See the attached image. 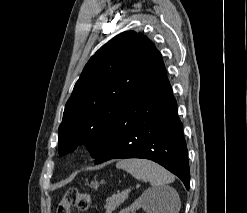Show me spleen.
Masks as SVG:
<instances>
[{
	"mask_svg": "<svg viewBox=\"0 0 247 213\" xmlns=\"http://www.w3.org/2000/svg\"><path fill=\"white\" fill-rule=\"evenodd\" d=\"M116 167L125 170L138 180L150 182L154 188L163 187L174 181V176L165 168L145 159L131 158L120 160ZM170 202V204L176 207L174 213H178L180 209L178 196L175 195ZM160 212H162V207H160Z\"/></svg>",
	"mask_w": 247,
	"mask_h": 213,
	"instance_id": "1",
	"label": "spleen"
}]
</instances>
